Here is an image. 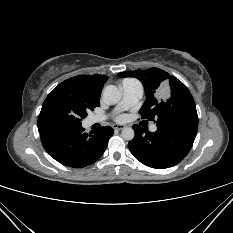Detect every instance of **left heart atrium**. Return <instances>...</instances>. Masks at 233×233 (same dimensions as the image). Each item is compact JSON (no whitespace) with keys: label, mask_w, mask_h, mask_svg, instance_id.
Here are the masks:
<instances>
[{"label":"left heart atrium","mask_w":233,"mask_h":233,"mask_svg":"<svg viewBox=\"0 0 233 233\" xmlns=\"http://www.w3.org/2000/svg\"><path fill=\"white\" fill-rule=\"evenodd\" d=\"M118 121H123L125 119V116L124 115H119L117 116L116 118Z\"/></svg>","instance_id":"39dd6f15"}]
</instances>
